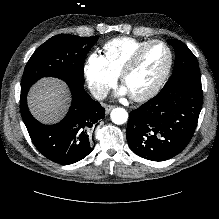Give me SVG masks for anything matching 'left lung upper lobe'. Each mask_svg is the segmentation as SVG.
<instances>
[{"mask_svg": "<svg viewBox=\"0 0 219 219\" xmlns=\"http://www.w3.org/2000/svg\"><path fill=\"white\" fill-rule=\"evenodd\" d=\"M168 43L175 49V66L165 86L185 75H200L198 61L190 49L177 39H169Z\"/></svg>", "mask_w": 219, "mask_h": 219, "instance_id": "left-lung-upper-lobe-1", "label": "left lung upper lobe"}]
</instances>
